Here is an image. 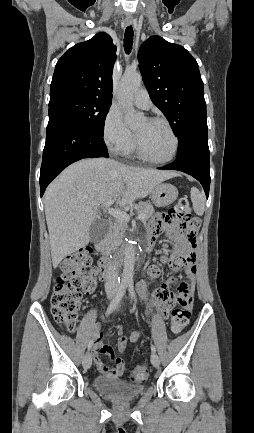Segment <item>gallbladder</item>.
Instances as JSON below:
<instances>
[{"instance_id":"obj_1","label":"gallbladder","mask_w":254,"mask_h":433,"mask_svg":"<svg viewBox=\"0 0 254 433\" xmlns=\"http://www.w3.org/2000/svg\"><path fill=\"white\" fill-rule=\"evenodd\" d=\"M108 233V222L103 219H95L89 229L91 242H100Z\"/></svg>"}]
</instances>
